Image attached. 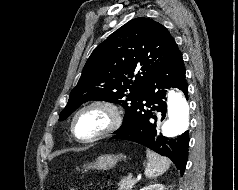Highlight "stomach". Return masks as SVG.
<instances>
[{"instance_id":"0dacf381","label":"stomach","mask_w":238,"mask_h":190,"mask_svg":"<svg viewBox=\"0 0 238 190\" xmlns=\"http://www.w3.org/2000/svg\"><path fill=\"white\" fill-rule=\"evenodd\" d=\"M125 156L119 155H101L93 163L84 165V169H97L101 171H107L112 169L118 161L124 159Z\"/></svg>"}]
</instances>
